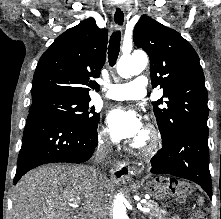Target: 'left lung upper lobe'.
Instances as JSON below:
<instances>
[{
  "label": "left lung upper lobe",
  "mask_w": 221,
  "mask_h": 219,
  "mask_svg": "<svg viewBox=\"0 0 221 219\" xmlns=\"http://www.w3.org/2000/svg\"><path fill=\"white\" fill-rule=\"evenodd\" d=\"M133 40L149 55L152 87L164 89V100L153 102L162 140L186 127L208 131V94L193 47L178 32L146 15L137 22Z\"/></svg>",
  "instance_id": "5c2ea615"
}]
</instances>
